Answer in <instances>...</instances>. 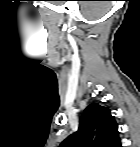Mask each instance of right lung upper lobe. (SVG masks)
Here are the masks:
<instances>
[{
	"label": "right lung upper lobe",
	"instance_id": "obj_1",
	"mask_svg": "<svg viewBox=\"0 0 140 147\" xmlns=\"http://www.w3.org/2000/svg\"><path fill=\"white\" fill-rule=\"evenodd\" d=\"M60 147H121L118 126L110 110L90 104L80 118L79 129Z\"/></svg>",
	"mask_w": 140,
	"mask_h": 147
}]
</instances>
